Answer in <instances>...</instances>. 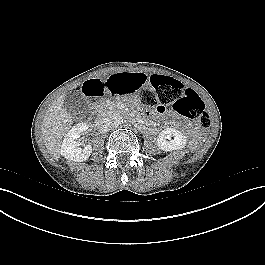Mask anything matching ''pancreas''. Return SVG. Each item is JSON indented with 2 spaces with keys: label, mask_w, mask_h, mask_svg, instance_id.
<instances>
[{
  "label": "pancreas",
  "mask_w": 265,
  "mask_h": 265,
  "mask_svg": "<svg viewBox=\"0 0 265 265\" xmlns=\"http://www.w3.org/2000/svg\"><path fill=\"white\" fill-rule=\"evenodd\" d=\"M110 106H111V104H109V103H106V104H105V107H110ZM108 111H109V110H103V109L100 110V112H102V113H104V114H107Z\"/></svg>",
  "instance_id": "obj_1"
}]
</instances>
